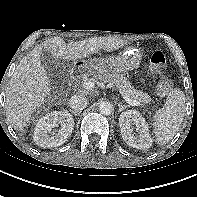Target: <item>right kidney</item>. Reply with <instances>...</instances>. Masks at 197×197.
I'll use <instances>...</instances> for the list:
<instances>
[{"label":"right kidney","instance_id":"obj_1","mask_svg":"<svg viewBox=\"0 0 197 197\" xmlns=\"http://www.w3.org/2000/svg\"><path fill=\"white\" fill-rule=\"evenodd\" d=\"M59 130L53 128L59 127ZM74 119L67 111H53L43 116L37 123L33 139L43 148L58 147L71 136Z\"/></svg>","mask_w":197,"mask_h":197}]
</instances>
